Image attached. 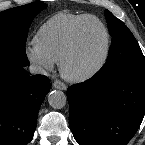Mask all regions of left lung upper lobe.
<instances>
[{
    "label": "left lung upper lobe",
    "mask_w": 145,
    "mask_h": 145,
    "mask_svg": "<svg viewBox=\"0 0 145 145\" xmlns=\"http://www.w3.org/2000/svg\"><path fill=\"white\" fill-rule=\"evenodd\" d=\"M105 18L112 37L111 47L105 65L95 76L104 78L122 70L145 68L144 55L128 27L108 10Z\"/></svg>",
    "instance_id": "5c2ea615"
}]
</instances>
